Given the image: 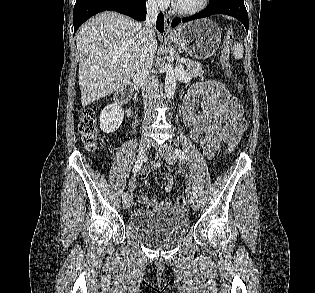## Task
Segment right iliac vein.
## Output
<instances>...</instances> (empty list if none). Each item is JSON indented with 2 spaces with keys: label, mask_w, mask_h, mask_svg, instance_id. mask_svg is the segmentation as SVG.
Returning a JSON list of instances; mask_svg holds the SVG:
<instances>
[{
  "label": "right iliac vein",
  "mask_w": 315,
  "mask_h": 293,
  "mask_svg": "<svg viewBox=\"0 0 315 293\" xmlns=\"http://www.w3.org/2000/svg\"><path fill=\"white\" fill-rule=\"evenodd\" d=\"M150 144H151V140L148 137L142 138L139 144V153L144 154L149 148ZM132 202H133L132 197L129 196L127 199L124 200L123 208L129 209L130 206L132 205Z\"/></svg>",
  "instance_id": "obj_1"
}]
</instances>
